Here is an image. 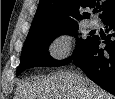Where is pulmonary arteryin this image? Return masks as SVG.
Listing matches in <instances>:
<instances>
[{
    "mask_svg": "<svg viewBox=\"0 0 115 99\" xmlns=\"http://www.w3.org/2000/svg\"><path fill=\"white\" fill-rule=\"evenodd\" d=\"M90 27L95 28L99 25V22L97 19H91L89 22Z\"/></svg>",
    "mask_w": 115,
    "mask_h": 99,
    "instance_id": "e3ab8cb5",
    "label": "pulmonary artery"
}]
</instances>
